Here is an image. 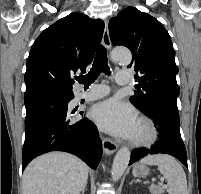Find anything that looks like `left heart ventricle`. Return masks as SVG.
<instances>
[{"instance_id": "left-heart-ventricle-1", "label": "left heart ventricle", "mask_w": 201, "mask_h": 194, "mask_svg": "<svg viewBox=\"0 0 201 194\" xmlns=\"http://www.w3.org/2000/svg\"><path fill=\"white\" fill-rule=\"evenodd\" d=\"M142 134H143V133H142L141 128L139 127V125H137V129H136V132H135V134H134L133 137H141Z\"/></svg>"}]
</instances>
